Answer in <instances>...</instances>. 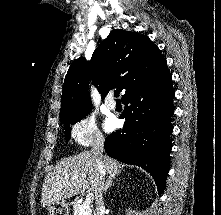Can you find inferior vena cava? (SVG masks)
I'll use <instances>...</instances> for the list:
<instances>
[{
  "label": "inferior vena cava",
  "mask_w": 221,
  "mask_h": 215,
  "mask_svg": "<svg viewBox=\"0 0 221 215\" xmlns=\"http://www.w3.org/2000/svg\"><path fill=\"white\" fill-rule=\"evenodd\" d=\"M92 152L97 157V163H98V168H99V173H100L96 181V186L94 188L95 199H96V203L99 206V209L103 210L104 208L103 190L105 188V169L101 160V158L103 157V152H104V144L102 140L100 139L95 140L93 144Z\"/></svg>",
  "instance_id": "inferior-vena-cava-1"
}]
</instances>
